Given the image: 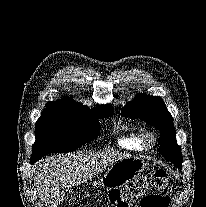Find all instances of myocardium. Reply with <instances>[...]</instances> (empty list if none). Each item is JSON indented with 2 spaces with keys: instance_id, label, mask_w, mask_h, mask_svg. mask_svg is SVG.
I'll return each mask as SVG.
<instances>
[{
  "instance_id": "obj_1",
  "label": "myocardium",
  "mask_w": 206,
  "mask_h": 207,
  "mask_svg": "<svg viewBox=\"0 0 206 207\" xmlns=\"http://www.w3.org/2000/svg\"><path fill=\"white\" fill-rule=\"evenodd\" d=\"M142 140L146 148H152L157 143V136L154 132L146 130L142 135Z\"/></svg>"
}]
</instances>
